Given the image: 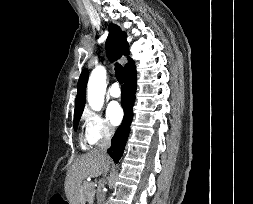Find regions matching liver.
<instances>
[{"label":"liver","instance_id":"obj_1","mask_svg":"<svg viewBox=\"0 0 253 204\" xmlns=\"http://www.w3.org/2000/svg\"><path fill=\"white\" fill-rule=\"evenodd\" d=\"M110 157L98 149L79 156L69 167L65 179V192L70 204H79L82 182L88 177H98L110 166Z\"/></svg>","mask_w":253,"mask_h":204}]
</instances>
